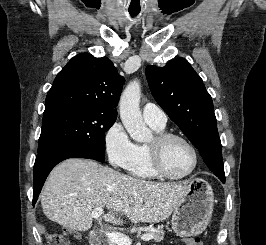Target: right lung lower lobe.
I'll return each instance as SVG.
<instances>
[{"instance_id":"right-lung-lower-lobe-1","label":"right lung lower lobe","mask_w":266,"mask_h":245,"mask_svg":"<svg viewBox=\"0 0 266 245\" xmlns=\"http://www.w3.org/2000/svg\"><path fill=\"white\" fill-rule=\"evenodd\" d=\"M68 158H87L99 162L104 161L89 151L71 147H56L38 154L34 164L33 206H35L42 186L50 171L59 162Z\"/></svg>"}]
</instances>
